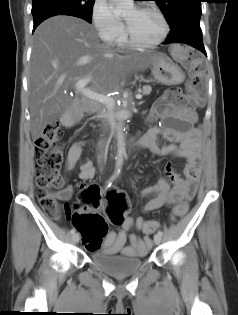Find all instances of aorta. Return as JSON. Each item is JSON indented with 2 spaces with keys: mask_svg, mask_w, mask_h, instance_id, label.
<instances>
[{
  "mask_svg": "<svg viewBox=\"0 0 238 315\" xmlns=\"http://www.w3.org/2000/svg\"><path fill=\"white\" fill-rule=\"evenodd\" d=\"M113 1L116 2L115 10H114L116 14H125L131 9H133V0H113ZM125 152H126V149H125L124 134L122 132V124H120L117 131V157H116V172L117 173H119L122 168Z\"/></svg>",
  "mask_w": 238,
  "mask_h": 315,
  "instance_id": "1",
  "label": "aorta"
}]
</instances>
